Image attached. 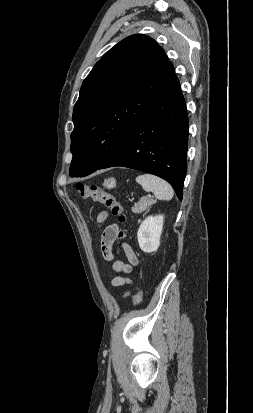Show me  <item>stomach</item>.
Segmentation results:
<instances>
[{"label":"stomach","instance_id":"obj_1","mask_svg":"<svg viewBox=\"0 0 253 413\" xmlns=\"http://www.w3.org/2000/svg\"><path fill=\"white\" fill-rule=\"evenodd\" d=\"M103 186L107 189H112L116 186V180L114 178H108L104 180Z\"/></svg>","mask_w":253,"mask_h":413}]
</instances>
